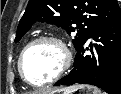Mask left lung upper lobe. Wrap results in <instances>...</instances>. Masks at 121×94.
Wrapping results in <instances>:
<instances>
[{
    "mask_svg": "<svg viewBox=\"0 0 121 94\" xmlns=\"http://www.w3.org/2000/svg\"><path fill=\"white\" fill-rule=\"evenodd\" d=\"M120 12L117 0H29L15 41L18 42L35 22H46L61 26L68 34L77 32L73 43L78 50L101 24Z\"/></svg>",
    "mask_w": 121,
    "mask_h": 94,
    "instance_id": "left-lung-upper-lobe-1",
    "label": "left lung upper lobe"
}]
</instances>
